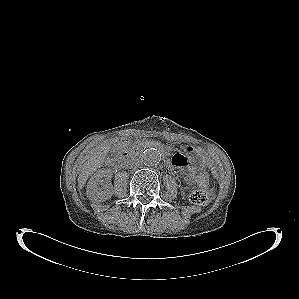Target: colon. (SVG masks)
Listing matches in <instances>:
<instances>
[{"instance_id": "1", "label": "colon", "mask_w": 299, "mask_h": 299, "mask_svg": "<svg viewBox=\"0 0 299 299\" xmlns=\"http://www.w3.org/2000/svg\"><path fill=\"white\" fill-rule=\"evenodd\" d=\"M195 181L199 188L193 190L189 195V200L196 205H207L213 199V193L207 188L209 182L208 174L201 170L195 175Z\"/></svg>"}]
</instances>
